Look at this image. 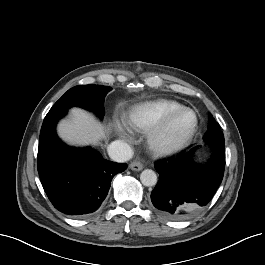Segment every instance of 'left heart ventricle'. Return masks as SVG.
<instances>
[{
    "mask_svg": "<svg viewBox=\"0 0 265 265\" xmlns=\"http://www.w3.org/2000/svg\"><path fill=\"white\" fill-rule=\"evenodd\" d=\"M194 125V115L191 112H184L176 116L169 128L170 136L180 138L190 132Z\"/></svg>",
    "mask_w": 265,
    "mask_h": 265,
    "instance_id": "obj_1",
    "label": "left heart ventricle"
}]
</instances>
